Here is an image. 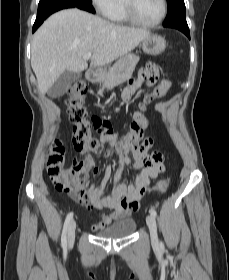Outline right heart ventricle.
Returning <instances> with one entry per match:
<instances>
[{
	"mask_svg": "<svg viewBox=\"0 0 229 280\" xmlns=\"http://www.w3.org/2000/svg\"><path fill=\"white\" fill-rule=\"evenodd\" d=\"M108 19H110L113 22L116 23H127L128 18L126 16V13L124 11L123 7V0H118L116 7L113 9V11L108 16Z\"/></svg>",
	"mask_w": 229,
	"mask_h": 280,
	"instance_id": "1",
	"label": "right heart ventricle"
}]
</instances>
